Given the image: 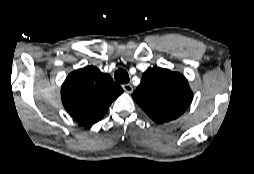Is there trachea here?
<instances>
[{"instance_id": "trachea-1", "label": "trachea", "mask_w": 254, "mask_h": 174, "mask_svg": "<svg viewBox=\"0 0 254 174\" xmlns=\"http://www.w3.org/2000/svg\"><path fill=\"white\" fill-rule=\"evenodd\" d=\"M114 78L116 82L125 84L129 82V75L126 70L119 68L114 73Z\"/></svg>"}]
</instances>
